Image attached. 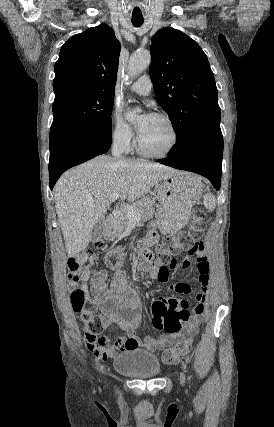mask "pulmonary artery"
Wrapping results in <instances>:
<instances>
[{
	"mask_svg": "<svg viewBox=\"0 0 274 427\" xmlns=\"http://www.w3.org/2000/svg\"><path fill=\"white\" fill-rule=\"evenodd\" d=\"M152 89V82L148 75H143L131 86V91L140 95L147 96L150 94Z\"/></svg>",
	"mask_w": 274,
	"mask_h": 427,
	"instance_id": "1",
	"label": "pulmonary artery"
}]
</instances>
